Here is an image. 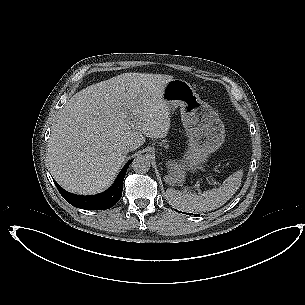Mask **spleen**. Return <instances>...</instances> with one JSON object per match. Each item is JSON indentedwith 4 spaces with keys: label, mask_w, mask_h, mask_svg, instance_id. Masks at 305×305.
Listing matches in <instances>:
<instances>
[{
    "label": "spleen",
    "mask_w": 305,
    "mask_h": 305,
    "mask_svg": "<svg viewBox=\"0 0 305 305\" xmlns=\"http://www.w3.org/2000/svg\"><path fill=\"white\" fill-rule=\"evenodd\" d=\"M239 181L240 176L234 174L223 182L219 188L204 191L203 193H192L186 189L182 191L170 188L167 190L169 203L184 212H207L223 206L234 194L231 189V181Z\"/></svg>",
    "instance_id": "spleen-1"
}]
</instances>
